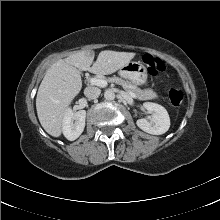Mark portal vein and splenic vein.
I'll list each match as a JSON object with an SVG mask.
<instances>
[{
  "instance_id": "18ae733b",
  "label": "portal vein and splenic vein",
  "mask_w": 220,
  "mask_h": 220,
  "mask_svg": "<svg viewBox=\"0 0 220 220\" xmlns=\"http://www.w3.org/2000/svg\"><path fill=\"white\" fill-rule=\"evenodd\" d=\"M90 83L92 85H96V86H99V87H105L107 86V81L104 80V79H98V78H91L90 79ZM129 94L133 97V98H136V95L132 92H129Z\"/></svg>"
}]
</instances>
